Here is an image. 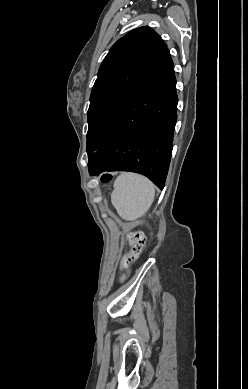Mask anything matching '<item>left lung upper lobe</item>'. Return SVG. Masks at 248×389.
<instances>
[{
	"instance_id": "obj_1",
	"label": "left lung upper lobe",
	"mask_w": 248,
	"mask_h": 389,
	"mask_svg": "<svg viewBox=\"0 0 248 389\" xmlns=\"http://www.w3.org/2000/svg\"><path fill=\"white\" fill-rule=\"evenodd\" d=\"M167 50L162 38L150 27H140L120 38L109 50L98 72L88 109L87 153L106 145L95 122Z\"/></svg>"
}]
</instances>
